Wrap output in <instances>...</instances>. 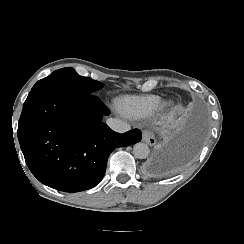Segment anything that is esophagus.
Returning a JSON list of instances; mask_svg holds the SVG:
<instances>
[{"label":"esophagus","instance_id":"obj_1","mask_svg":"<svg viewBox=\"0 0 244 244\" xmlns=\"http://www.w3.org/2000/svg\"><path fill=\"white\" fill-rule=\"evenodd\" d=\"M142 140L147 143L149 146H153L156 144V138H155V135L154 133L149 130V129H146V130H143L142 131Z\"/></svg>","mask_w":244,"mask_h":244}]
</instances>
